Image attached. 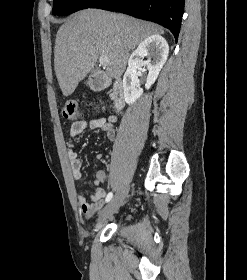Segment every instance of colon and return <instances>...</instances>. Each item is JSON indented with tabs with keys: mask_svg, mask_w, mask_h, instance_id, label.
I'll return each mask as SVG.
<instances>
[{
	"mask_svg": "<svg viewBox=\"0 0 247 280\" xmlns=\"http://www.w3.org/2000/svg\"><path fill=\"white\" fill-rule=\"evenodd\" d=\"M63 115L69 120H79L81 118L79 104L76 101H68L64 106Z\"/></svg>",
	"mask_w": 247,
	"mask_h": 280,
	"instance_id": "1",
	"label": "colon"
}]
</instances>
